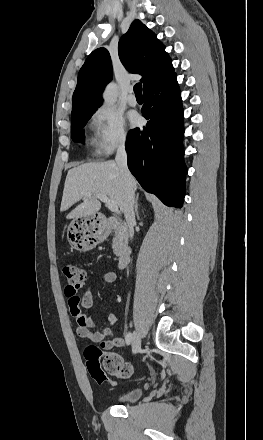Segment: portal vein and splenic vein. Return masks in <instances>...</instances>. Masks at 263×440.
Instances as JSON below:
<instances>
[{
	"mask_svg": "<svg viewBox=\"0 0 263 440\" xmlns=\"http://www.w3.org/2000/svg\"><path fill=\"white\" fill-rule=\"evenodd\" d=\"M92 194L88 193L86 196L90 197ZM96 197L102 201L103 203H105L106 207L112 211V212H119V207L118 205L111 199H109L106 195L103 194H97Z\"/></svg>",
	"mask_w": 263,
	"mask_h": 440,
	"instance_id": "portal-vein-and-splenic-vein-1",
	"label": "portal vein and splenic vein"
}]
</instances>
